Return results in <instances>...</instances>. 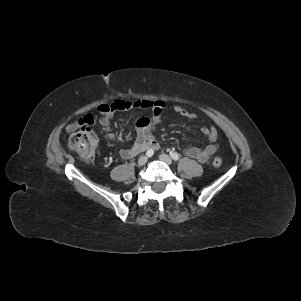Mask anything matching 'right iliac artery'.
I'll return each instance as SVG.
<instances>
[{"label": "right iliac artery", "instance_id": "1", "mask_svg": "<svg viewBox=\"0 0 301 301\" xmlns=\"http://www.w3.org/2000/svg\"><path fill=\"white\" fill-rule=\"evenodd\" d=\"M153 154H154V151H153L152 149H150V150H148V151L146 152V155H147L148 157H151Z\"/></svg>", "mask_w": 301, "mask_h": 301}]
</instances>
